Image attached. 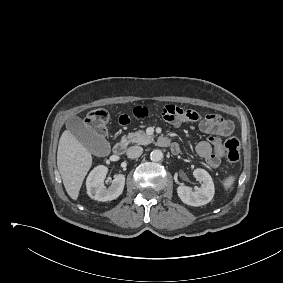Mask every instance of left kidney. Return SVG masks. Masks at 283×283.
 Listing matches in <instances>:
<instances>
[{
  "label": "left kidney",
  "mask_w": 283,
  "mask_h": 283,
  "mask_svg": "<svg viewBox=\"0 0 283 283\" xmlns=\"http://www.w3.org/2000/svg\"><path fill=\"white\" fill-rule=\"evenodd\" d=\"M193 176L196 180L202 182L200 187H196L195 191L184 184L178 186L177 194L181 201L190 206H202L209 203L215 194L213 180L210 174L201 168L193 171Z\"/></svg>",
  "instance_id": "left-kidney-1"
}]
</instances>
